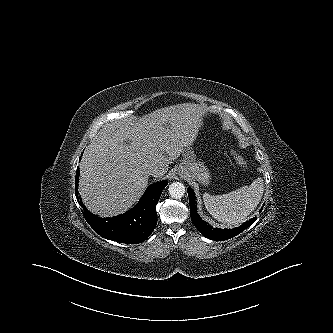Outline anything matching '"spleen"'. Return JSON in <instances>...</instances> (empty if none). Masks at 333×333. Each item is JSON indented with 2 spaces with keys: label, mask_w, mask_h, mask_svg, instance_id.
Returning <instances> with one entry per match:
<instances>
[{
  "label": "spleen",
  "mask_w": 333,
  "mask_h": 333,
  "mask_svg": "<svg viewBox=\"0 0 333 333\" xmlns=\"http://www.w3.org/2000/svg\"><path fill=\"white\" fill-rule=\"evenodd\" d=\"M264 193L262 178H257L249 186H243L223 195L203 194L207 211L219 222L239 225L257 207Z\"/></svg>",
  "instance_id": "1"
}]
</instances>
